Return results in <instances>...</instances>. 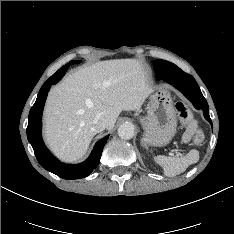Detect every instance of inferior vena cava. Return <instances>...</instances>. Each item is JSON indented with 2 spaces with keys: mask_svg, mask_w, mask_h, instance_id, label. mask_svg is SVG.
Wrapping results in <instances>:
<instances>
[{
  "mask_svg": "<svg viewBox=\"0 0 234 234\" xmlns=\"http://www.w3.org/2000/svg\"><path fill=\"white\" fill-rule=\"evenodd\" d=\"M105 128H106V121L104 119H102L101 117L96 116L92 120L91 129L93 130V132L99 133V132H102L103 130H105Z\"/></svg>",
  "mask_w": 234,
  "mask_h": 234,
  "instance_id": "1",
  "label": "inferior vena cava"
}]
</instances>
